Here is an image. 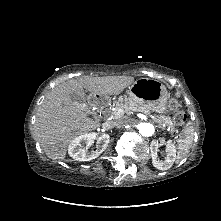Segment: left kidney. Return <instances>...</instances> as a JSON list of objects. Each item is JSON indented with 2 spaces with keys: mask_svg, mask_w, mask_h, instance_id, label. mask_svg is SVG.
Segmentation results:
<instances>
[{
  "mask_svg": "<svg viewBox=\"0 0 221 221\" xmlns=\"http://www.w3.org/2000/svg\"><path fill=\"white\" fill-rule=\"evenodd\" d=\"M165 144V152L166 157L164 160H158L157 156V148L158 142L153 141L150 145L151 150V157H152V164L155 168L159 170H168L172 167L175 159H176V148L175 145L172 143L171 140H168Z\"/></svg>",
  "mask_w": 221,
  "mask_h": 221,
  "instance_id": "1",
  "label": "left kidney"
}]
</instances>
